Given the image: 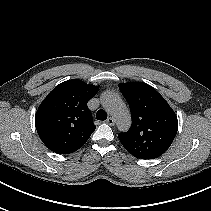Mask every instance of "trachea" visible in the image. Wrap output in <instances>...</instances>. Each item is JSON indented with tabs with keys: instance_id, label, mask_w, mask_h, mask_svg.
<instances>
[{
	"instance_id": "obj_1",
	"label": "trachea",
	"mask_w": 211,
	"mask_h": 211,
	"mask_svg": "<svg viewBox=\"0 0 211 211\" xmlns=\"http://www.w3.org/2000/svg\"><path fill=\"white\" fill-rule=\"evenodd\" d=\"M96 117H97L98 120L104 121L107 118V113L104 110H102V109L98 110L97 114H96Z\"/></svg>"
}]
</instances>
